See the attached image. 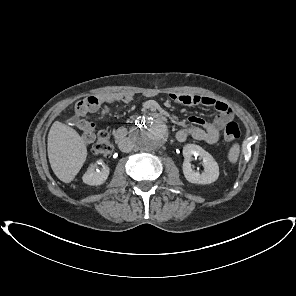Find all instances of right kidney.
I'll return each instance as SVG.
<instances>
[{"label":"right kidney","instance_id":"right-kidney-1","mask_svg":"<svg viewBox=\"0 0 296 296\" xmlns=\"http://www.w3.org/2000/svg\"><path fill=\"white\" fill-rule=\"evenodd\" d=\"M95 167V165H91L83 175L82 180L85 184L91 186L101 185L107 180L110 172L109 167L103 165L101 171L96 170Z\"/></svg>","mask_w":296,"mask_h":296}]
</instances>
